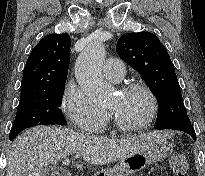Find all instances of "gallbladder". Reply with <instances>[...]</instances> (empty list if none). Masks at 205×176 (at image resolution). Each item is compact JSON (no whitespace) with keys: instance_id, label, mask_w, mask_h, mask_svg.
<instances>
[{"instance_id":"1","label":"gallbladder","mask_w":205,"mask_h":176,"mask_svg":"<svg viewBox=\"0 0 205 176\" xmlns=\"http://www.w3.org/2000/svg\"><path fill=\"white\" fill-rule=\"evenodd\" d=\"M56 175L67 176L66 174L64 175L60 169L51 165L45 167L41 172V176H56Z\"/></svg>"}]
</instances>
